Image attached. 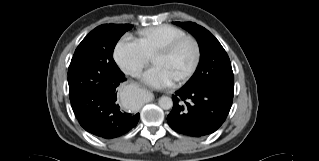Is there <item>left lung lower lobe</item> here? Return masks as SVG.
<instances>
[{
    "label": "left lung lower lobe",
    "mask_w": 319,
    "mask_h": 161,
    "mask_svg": "<svg viewBox=\"0 0 319 161\" xmlns=\"http://www.w3.org/2000/svg\"><path fill=\"white\" fill-rule=\"evenodd\" d=\"M232 102L233 97L216 91L183 86L173 95L167 122L178 133L202 137L223 124Z\"/></svg>",
    "instance_id": "obj_1"
}]
</instances>
